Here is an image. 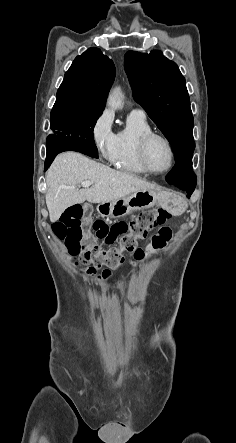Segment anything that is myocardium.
<instances>
[{"instance_id":"f54148a6","label":"myocardium","mask_w":236,"mask_h":443,"mask_svg":"<svg viewBox=\"0 0 236 443\" xmlns=\"http://www.w3.org/2000/svg\"><path fill=\"white\" fill-rule=\"evenodd\" d=\"M153 139H161L162 141H164L170 151V163L166 169L161 170V171L154 170L150 166V163L148 161V147H149L150 142ZM138 158H139L141 166L144 168V170L147 173H150L153 175H163V174L168 173L174 166L175 149H174L172 142L169 140L168 137H166L165 135H163L161 133L155 132V131H149V132L144 133L138 141Z\"/></svg>"}]
</instances>
